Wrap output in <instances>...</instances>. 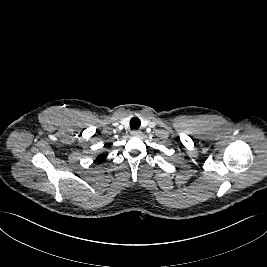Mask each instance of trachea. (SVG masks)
<instances>
[{"mask_svg":"<svg viewBox=\"0 0 267 267\" xmlns=\"http://www.w3.org/2000/svg\"><path fill=\"white\" fill-rule=\"evenodd\" d=\"M141 125V121L139 118L137 117H133L131 120H130V128L131 129H138Z\"/></svg>","mask_w":267,"mask_h":267,"instance_id":"trachea-1","label":"trachea"}]
</instances>
